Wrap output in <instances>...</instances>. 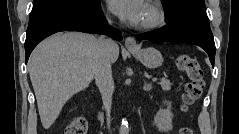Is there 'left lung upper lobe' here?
Wrapping results in <instances>:
<instances>
[{"label":"left lung upper lobe","instance_id":"left-lung-upper-lobe-1","mask_svg":"<svg viewBox=\"0 0 239 134\" xmlns=\"http://www.w3.org/2000/svg\"><path fill=\"white\" fill-rule=\"evenodd\" d=\"M162 4L166 12L167 22L173 21L188 7H205L204 0H162Z\"/></svg>","mask_w":239,"mask_h":134}]
</instances>
